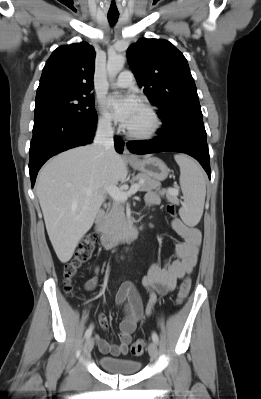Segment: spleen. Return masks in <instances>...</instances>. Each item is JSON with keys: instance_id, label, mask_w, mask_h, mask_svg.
Masks as SVG:
<instances>
[{"instance_id": "obj_1", "label": "spleen", "mask_w": 261, "mask_h": 399, "mask_svg": "<svg viewBox=\"0 0 261 399\" xmlns=\"http://www.w3.org/2000/svg\"><path fill=\"white\" fill-rule=\"evenodd\" d=\"M180 167V187L184 197L179 214L188 226L199 223L204 209L206 177L201 167L186 155H175Z\"/></svg>"}]
</instances>
